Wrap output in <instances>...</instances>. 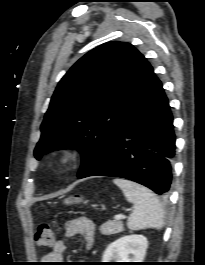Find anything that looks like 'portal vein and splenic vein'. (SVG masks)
Instances as JSON below:
<instances>
[{
  "instance_id": "portal-vein-and-splenic-vein-1",
  "label": "portal vein and splenic vein",
  "mask_w": 205,
  "mask_h": 265,
  "mask_svg": "<svg viewBox=\"0 0 205 265\" xmlns=\"http://www.w3.org/2000/svg\"><path fill=\"white\" fill-rule=\"evenodd\" d=\"M123 218H125V216L122 215V214L115 216V220H120V219H123Z\"/></svg>"
}]
</instances>
